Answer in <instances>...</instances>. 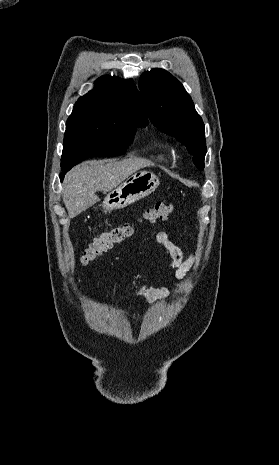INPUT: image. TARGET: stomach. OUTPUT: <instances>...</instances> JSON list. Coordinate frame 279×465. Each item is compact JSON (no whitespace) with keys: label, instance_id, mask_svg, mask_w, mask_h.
Wrapping results in <instances>:
<instances>
[{"label":"stomach","instance_id":"stomach-1","mask_svg":"<svg viewBox=\"0 0 279 465\" xmlns=\"http://www.w3.org/2000/svg\"><path fill=\"white\" fill-rule=\"evenodd\" d=\"M158 177L150 171H140L124 181L105 197L102 207L105 211L124 208L155 191L159 186Z\"/></svg>","mask_w":279,"mask_h":465}]
</instances>
